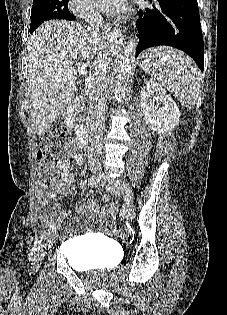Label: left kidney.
Wrapping results in <instances>:
<instances>
[{"label": "left kidney", "instance_id": "1", "mask_svg": "<svg viewBox=\"0 0 227 315\" xmlns=\"http://www.w3.org/2000/svg\"><path fill=\"white\" fill-rule=\"evenodd\" d=\"M141 109L147 124L154 132L173 130L180 120V111L174 100L155 81L146 82L140 94Z\"/></svg>", "mask_w": 227, "mask_h": 315}]
</instances>
